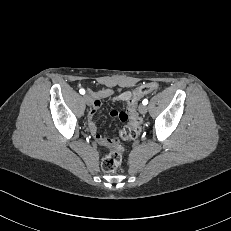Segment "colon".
Returning <instances> with one entry per match:
<instances>
[{"label":"colon","instance_id":"obj_1","mask_svg":"<svg viewBox=\"0 0 231 231\" xmlns=\"http://www.w3.org/2000/svg\"><path fill=\"white\" fill-rule=\"evenodd\" d=\"M158 88V83L150 82L138 87L128 100L127 110L121 112L120 119L127 122L126 126L120 131V137L124 140H131L138 137L141 132L142 120L137 111L139 100L155 91ZM124 148L117 143L113 149L102 159L101 167L106 173L114 172L122 161Z\"/></svg>","mask_w":231,"mask_h":231}]
</instances>
